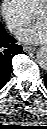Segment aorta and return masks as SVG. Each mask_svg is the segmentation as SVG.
Returning <instances> with one entry per match:
<instances>
[{"instance_id":"762f6f07","label":"aorta","mask_w":47,"mask_h":129,"mask_svg":"<svg viewBox=\"0 0 47 129\" xmlns=\"http://www.w3.org/2000/svg\"><path fill=\"white\" fill-rule=\"evenodd\" d=\"M37 62L42 68L47 66V50L46 48H41L37 52Z\"/></svg>"}]
</instances>
